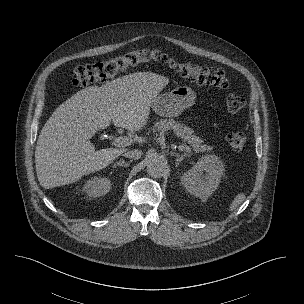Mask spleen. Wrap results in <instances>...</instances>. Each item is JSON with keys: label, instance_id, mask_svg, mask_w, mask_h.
I'll list each match as a JSON object with an SVG mask.
<instances>
[{"label": "spleen", "instance_id": "obj_1", "mask_svg": "<svg viewBox=\"0 0 304 304\" xmlns=\"http://www.w3.org/2000/svg\"><path fill=\"white\" fill-rule=\"evenodd\" d=\"M246 196L244 193H240L235 196L234 200L230 204L229 211L235 210L244 200Z\"/></svg>", "mask_w": 304, "mask_h": 304}]
</instances>
